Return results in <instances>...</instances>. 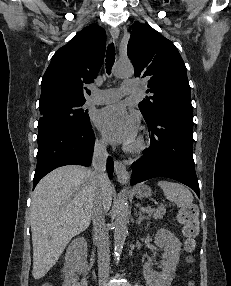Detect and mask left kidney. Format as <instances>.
Listing matches in <instances>:
<instances>
[{
    "label": "left kidney",
    "instance_id": "obj_1",
    "mask_svg": "<svg viewBox=\"0 0 231 286\" xmlns=\"http://www.w3.org/2000/svg\"><path fill=\"white\" fill-rule=\"evenodd\" d=\"M154 243L163 249V260L161 261V272L152 269V261H148L143 266L144 278L149 286H170L176 265L179 262L181 242L169 230L159 229L155 235Z\"/></svg>",
    "mask_w": 231,
    "mask_h": 286
}]
</instances>
